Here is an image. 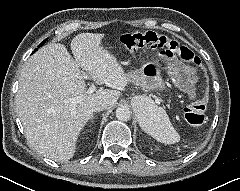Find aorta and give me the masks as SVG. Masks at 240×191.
<instances>
[{
  "instance_id": "1",
  "label": "aorta",
  "mask_w": 240,
  "mask_h": 191,
  "mask_svg": "<svg viewBox=\"0 0 240 191\" xmlns=\"http://www.w3.org/2000/svg\"><path fill=\"white\" fill-rule=\"evenodd\" d=\"M144 108L146 109L151 105L150 100L147 98L141 97L140 98ZM116 117L120 121H128L131 118V111L127 106H120L116 109Z\"/></svg>"
}]
</instances>
